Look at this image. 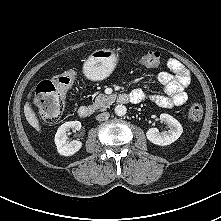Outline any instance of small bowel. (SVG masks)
Here are the masks:
<instances>
[{"label":"small bowel","instance_id":"small-bowel-1","mask_svg":"<svg viewBox=\"0 0 221 221\" xmlns=\"http://www.w3.org/2000/svg\"><path fill=\"white\" fill-rule=\"evenodd\" d=\"M167 65L170 72H162L158 77L165 94L147 95L142 89H134L130 92V96L134 97L136 102L149 97L157 105L165 108L183 105L187 101L186 88L190 84V74L176 59H169Z\"/></svg>","mask_w":221,"mask_h":221}]
</instances>
